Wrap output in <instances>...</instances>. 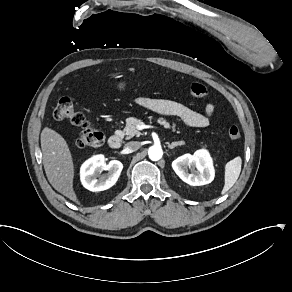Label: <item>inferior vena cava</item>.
Wrapping results in <instances>:
<instances>
[{
	"label": "inferior vena cava",
	"mask_w": 292,
	"mask_h": 292,
	"mask_svg": "<svg viewBox=\"0 0 292 292\" xmlns=\"http://www.w3.org/2000/svg\"><path fill=\"white\" fill-rule=\"evenodd\" d=\"M141 144L138 141H130L125 145V149L128 152H134L140 148Z\"/></svg>",
	"instance_id": "1"
}]
</instances>
